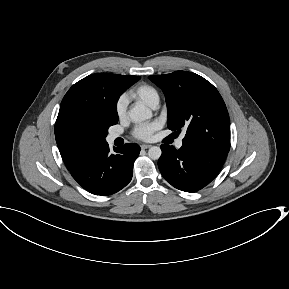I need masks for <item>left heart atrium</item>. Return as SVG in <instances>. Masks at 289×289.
Wrapping results in <instances>:
<instances>
[{
    "instance_id": "left-heart-atrium-1",
    "label": "left heart atrium",
    "mask_w": 289,
    "mask_h": 289,
    "mask_svg": "<svg viewBox=\"0 0 289 289\" xmlns=\"http://www.w3.org/2000/svg\"><path fill=\"white\" fill-rule=\"evenodd\" d=\"M158 129L157 123H149L145 125H140L135 128L133 135L135 138L139 140H150L154 134V132Z\"/></svg>"
}]
</instances>
